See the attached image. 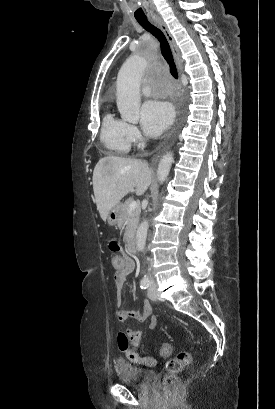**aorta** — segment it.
<instances>
[{
  "label": "aorta",
  "mask_w": 275,
  "mask_h": 409,
  "mask_svg": "<svg viewBox=\"0 0 275 409\" xmlns=\"http://www.w3.org/2000/svg\"><path fill=\"white\" fill-rule=\"evenodd\" d=\"M144 57L145 54L143 51H134L132 56L126 58L118 72L116 96L118 110L121 114L122 120L138 122L140 118V82L144 70ZM172 162H174L172 152H166V154H163L157 170L159 182H164V180H166ZM148 229V221L140 223L136 233L137 251H144ZM144 279H146V277H144Z\"/></svg>",
  "instance_id": "1"
}]
</instances>
